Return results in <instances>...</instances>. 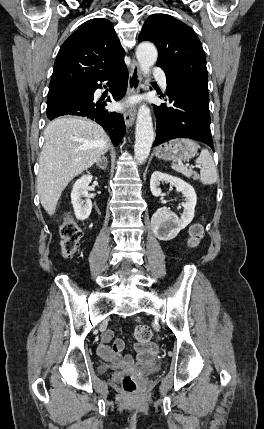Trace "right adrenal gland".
Wrapping results in <instances>:
<instances>
[{
	"mask_svg": "<svg viewBox=\"0 0 264 429\" xmlns=\"http://www.w3.org/2000/svg\"><path fill=\"white\" fill-rule=\"evenodd\" d=\"M97 167L105 170L108 166L107 157L102 155V157L96 162Z\"/></svg>",
	"mask_w": 264,
	"mask_h": 429,
	"instance_id": "obj_1",
	"label": "right adrenal gland"
}]
</instances>
